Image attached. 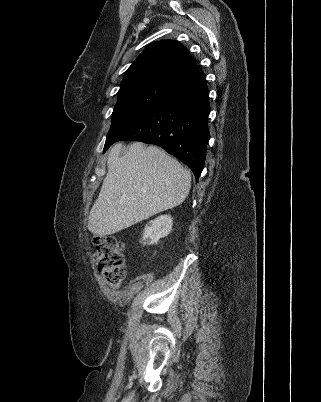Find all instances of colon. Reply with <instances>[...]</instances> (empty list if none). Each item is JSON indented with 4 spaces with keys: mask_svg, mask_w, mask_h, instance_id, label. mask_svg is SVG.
<instances>
[{
    "mask_svg": "<svg viewBox=\"0 0 321 402\" xmlns=\"http://www.w3.org/2000/svg\"><path fill=\"white\" fill-rule=\"evenodd\" d=\"M93 246V258L102 281L110 288L118 289L127 274L122 242L113 236L97 234Z\"/></svg>",
    "mask_w": 321,
    "mask_h": 402,
    "instance_id": "obj_1",
    "label": "colon"
}]
</instances>
